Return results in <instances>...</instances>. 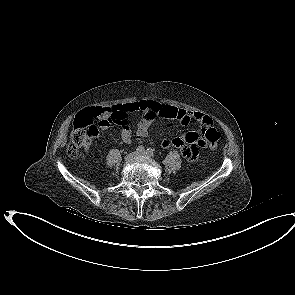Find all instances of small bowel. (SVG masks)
<instances>
[{
    "label": "small bowel",
    "instance_id": "small-bowel-1",
    "mask_svg": "<svg viewBox=\"0 0 295 295\" xmlns=\"http://www.w3.org/2000/svg\"><path fill=\"white\" fill-rule=\"evenodd\" d=\"M108 109L109 113L100 117L99 128L100 130H106L113 123L122 124L121 138L125 143H130L132 140L131 129L125 120L137 111L142 112V118L136 131L139 137H146L148 135L149 128L156 118L175 121L182 125H188L192 120H196L201 123L202 127L207 125L212 126V119L202 112L173 107L151 99L119 104L111 106ZM203 144L204 140L195 131H189L177 137L164 138L161 141L163 148H177L184 157L190 160L195 159Z\"/></svg>",
    "mask_w": 295,
    "mask_h": 295
}]
</instances>
